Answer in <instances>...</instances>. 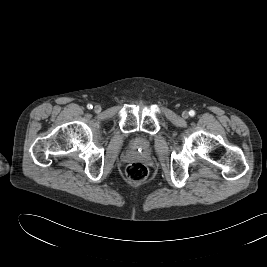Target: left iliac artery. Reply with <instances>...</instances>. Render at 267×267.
<instances>
[{
  "mask_svg": "<svg viewBox=\"0 0 267 267\" xmlns=\"http://www.w3.org/2000/svg\"><path fill=\"white\" fill-rule=\"evenodd\" d=\"M189 115H190L191 117H194V116H195V111H194V110H190V111H189Z\"/></svg>",
  "mask_w": 267,
  "mask_h": 267,
  "instance_id": "1",
  "label": "left iliac artery"
}]
</instances>
